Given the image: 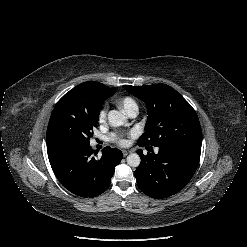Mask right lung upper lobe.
I'll use <instances>...</instances> for the list:
<instances>
[{"label":"right lung upper lobe","mask_w":247,"mask_h":247,"mask_svg":"<svg viewBox=\"0 0 247 247\" xmlns=\"http://www.w3.org/2000/svg\"><path fill=\"white\" fill-rule=\"evenodd\" d=\"M114 88L105 86L102 83L96 81H88L81 83L74 87L65 96H72L76 98L91 100L95 104L101 106L105 99L112 96L115 93ZM53 147H47V150H51Z\"/></svg>","instance_id":"1"}]
</instances>
